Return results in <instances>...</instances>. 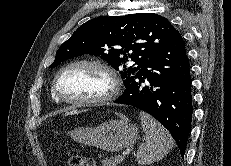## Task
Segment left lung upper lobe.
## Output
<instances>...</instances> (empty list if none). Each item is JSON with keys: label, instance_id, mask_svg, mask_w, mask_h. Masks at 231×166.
Here are the masks:
<instances>
[{"label": "left lung upper lobe", "instance_id": "1", "mask_svg": "<svg viewBox=\"0 0 231 166\" xmlns=\"http://www.w3.org/2000/svg\"><path fill=\"white\" fill-rule=\"evenodd\" d=\"M175 32L166 18L153 13L91 19L60 46L50 67L84 54L100 56L116 70L124 67L121 76L127 87L135 73ZM129 60L137 66L126 65Z\"/></svg>", "mask_w": 231, "mask_h": 166}]
</instances>
